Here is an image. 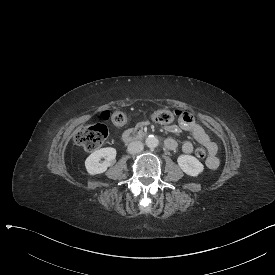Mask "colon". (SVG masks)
Wrapping results in <instances>:
<instances>
[{"mask_svg": "<svg viewBox=\"0 0 275 275\" xmlns=\"http://www.w3.org/2000/svg\"><path fill=\"white\" fill-rule=\"evenodd\" d=\"M105 116L109 117L107 113ZM175 118V114L170 110H158L148 113V119L156 124H169L173 122ZM112 120L116 124H122L125 121V117L123 113L116 112L113 114ZM107 136L108 131L102 125H83L79 128L76 134V139L83 149L89 152L100 149L103 146ZM206 154V149L203 147H198L195 149V155L199 159L205 158Z\"/></svg>", "mask_w": 275, "mask_h": 275, "instance_id": "obj_1", "label": "colon"}]
</instances>
